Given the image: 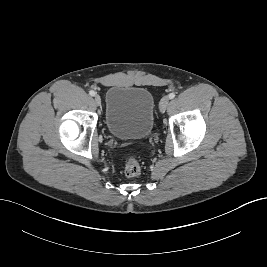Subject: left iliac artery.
<instances>
[{
	"label": "left iliac artery",
	"instance_id": "1",
	"mask_svg": "<svg viewBox=\"0 0 267 267\" xmlns=\"http://www.w3.org/2000/svg\"><path fill=\"white\" fill-rule=\"evenodd\" d=\"M175 97V93H170L169 94V99H173Z\"/></svg>",
	"mask_w": 267,
	"mask_h": 267
}]
</instances>
